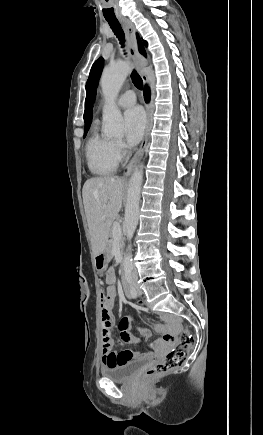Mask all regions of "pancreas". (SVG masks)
<instances>
[{
    "mask_svg": "<svg viewBox=\"0 0 263 435\" xmlns=\"http://www.w3.org/2000/svg\"><path fill=\"white\" fill-rule=\"evenodd\" d=\"M116 241V238H114L113 233L111 232V240L109 242V250L111 251L112 245L114 244V242ZM117 242L121 245L122 243V239L118 238Z\"/></svg>",
    "mask_w": 263,
    "mask_h": 435,
    "instance_id": "pancreas-1",
    "label": "pancreas"
}]
</instances>
